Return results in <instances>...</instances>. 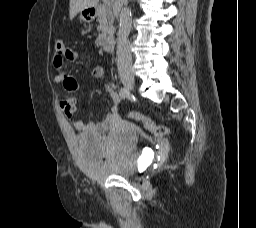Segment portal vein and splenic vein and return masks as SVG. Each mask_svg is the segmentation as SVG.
<instances>
[{"label":"portal vein and splenic vein","mask_w":256,"mask_h":228,"mask_svg":"<svg viewBox=\"0 0 256 228\" xmlns=\"http://www.w3.org/2000/svg\"><path fill=\"white\" fill-rule=\"evenodd\" d=\"M105 2H108L109 0H104Z\"/></svg>","instance_id":"1"}]
</instances>
